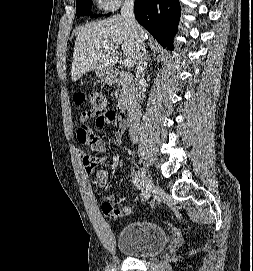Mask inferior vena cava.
<instances>
[{
    "label": "inferior vena cava",
    "mask_w": 253,
    "mask_h": 271,
    "mask_svg": "<svg viewBox=\"0 0 253 271\" xmlns=\"http://www.w3.org/2000/svg\"><path fill=\"white\" fill-rule=\"evenodd\" d=\"M121 16L125 19V21L129 24L132 31L134 32L135 38L138 43L137 55H136V64L137 70L135 75V87L133 94V103L130 108V137L133 142L136 143L138 140V132H139V122L141 115V98L143 93V88L145 86L144 80V69H145V61H146V51L144 44V30L137 23L134 16V0H125L122 8H121Z\"/></svg>",
    "instance_id": "602c4592"
}]
</instances>
